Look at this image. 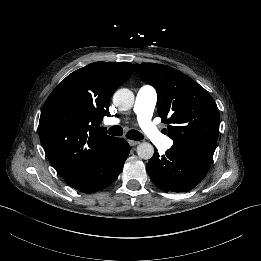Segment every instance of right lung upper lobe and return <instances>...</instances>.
<instances>
[{"label":"right lung upper lobe","mask_w":261,"mask_h":261,"mask_svg":"<svg viewBox=\"0 0 261 261\" xmlns=\"http://www.w3.org/2000/svg\"><path fill=\"white\" fill-rule=\"evenodd\" d=\"M134 71L127 62H94L68 75L41 111L39 136L48 160L64 179L98 161L116 137L99 128L110 116L115 90Z\"/></svg>","instance_id":"obj_1"}]
</instances>
